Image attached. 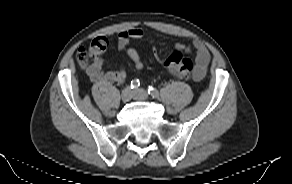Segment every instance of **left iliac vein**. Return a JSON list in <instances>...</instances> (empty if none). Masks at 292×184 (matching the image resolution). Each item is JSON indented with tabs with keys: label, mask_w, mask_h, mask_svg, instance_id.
I'll list each match as a JSON object with an SVG mask.
<instances>
[{
	"label": "left iliac vein",
	"mask_w": 292,
	"mask_h": 184,
	"mask_svg": "<svg viewBox=\"0 0 292 184\" xmlns=\"http://www.w3.org/2000/svg\"><path fill=\"white\" fill-rule=\"evenodd\" d=\"M133 98L139 101H146L149 98V94L144 89H136L133 92Z\"/></svg>",
	"instance_id": "left-iliac-vein-1"
}]
</instances>
